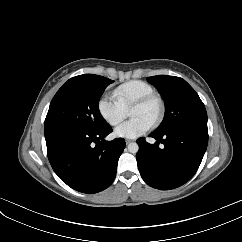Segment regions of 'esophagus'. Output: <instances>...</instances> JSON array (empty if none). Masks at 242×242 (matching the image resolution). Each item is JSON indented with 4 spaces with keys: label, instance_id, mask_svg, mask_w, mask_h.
I'll return each mask as SVG.
<instances>
[{
    "label": "esophagus",
    "instance_id": "1",
    "mask_svg": "<svg viewBox=\"0 0 242 242\" xmlns=\"http://www.w3.org/2000/svg\"><path fill=\"white\" fill-rule=\"evenodd\" d=\"M131 142V140H126V144H128V143H130Z\"/></svg>",
    "mask_w": 242,
    "mask_h": 242
}]
</instances>
